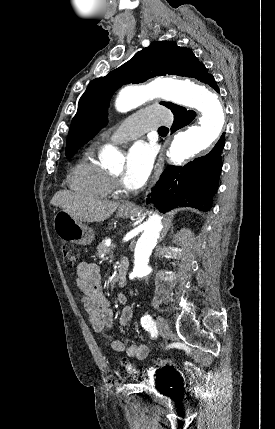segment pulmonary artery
<instances>
[{"mask_svg": "<svg viewBox=\"0 0 275 429\" xmlns=\"http://www.w3.org/2000/svg\"><path fill=\"white\" fill-rule=\"evenodd\" d=\"M170 112L163 107H148L132 115L120 128L115 130L110 140L123 143L142 135L145 131L170 124Z\"/></svg>", "mask_w": 275, "mask_h": 429, "instance_id": "e3ab8cb5", "label": "pulmonary artery"}]
</instances>
